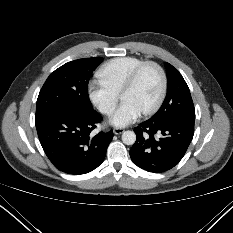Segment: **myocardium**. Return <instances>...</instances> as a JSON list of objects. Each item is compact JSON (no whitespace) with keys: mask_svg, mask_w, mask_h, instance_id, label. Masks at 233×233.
<instances>
[{"mask_svg":"<svg viewBox=\"0 0 233 233\" xmlns=\"http://www.w3.org/2000/svg\"><path fill=\"white\" fill-rule=\"evenodd\" d=\"M148 67H154L159 72L160 78H161V89H160L158 99L156 100L154 105L150 107L149 109L145 110L144 112H142L144 115H152L156 113L160 109V107L162 106L166 98L167 89H168V78H167V74L164 68L157 62L144 61L137 68L134 69V71L131 73V75L129 76V78L127 79V81L125 82L121 90V96H122L123 92L133 88L137 84L141 74Z\"/></svg>","mask_w":233,"mask_h":233,"instance_id":"f54148a6","label":"myocardium"}]
</instances>
